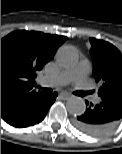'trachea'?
<instances>
[{
	"label": "trachea",
	"instance_id": "trachea-1",
	"mask_svg": "<svg viewBox=\"0 0 122 154\" xmlns=\"http://www.w3.org/2000/svg\"><path fill=\"white\" fill-rule=\"evenodd\" d=\"M42 90L46 93H49V94L52 92V89H50V88H42Z\"/></svg>",
	"mask_w": 122,
	"mask_h": 154
}]
</instances>
